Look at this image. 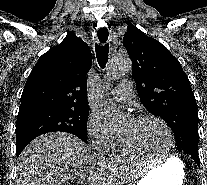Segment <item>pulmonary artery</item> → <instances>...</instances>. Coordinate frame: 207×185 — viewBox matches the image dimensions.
Returning a JSON list of instances; mask_svg holds the SVG:
<instances>
[{
    "label": "pulmonary artery",
    "mask_w": 207,
    "mask_h": 185,
    "mask_svg": "<svg viewBox=\"0 0 207 185\" xmlns=\"http://www.w3.org/2000/svg\"><path fill=\"white\" fill-rule=\"evenodd\" d=\"M130 91H132V81H121V86L113 89L110 96L119 102H126L129 100Z\"/></svg>",
    "instance_id": "pulmonary-artery-1"
}]
</instances>
